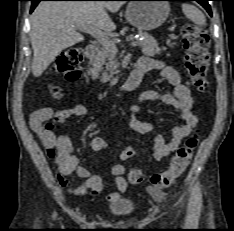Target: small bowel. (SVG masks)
I'll return each instance as SVG.
<instances>
[{
  "label": "small bowel",
  "mask_w": 234,
  "mask_h": 231,
  "mask_svg": "<svg viewBox=\"0 0 234 231\" xmlns=\"http://www.w3.org/2000/svg\"><path fill=\"white\" fill-rule=\"evenodd\" d=\"M138 63L150 66V70L161 71L163 77L173 86V93H159L154 90L143 91L138 96L136 103L131 106L130 128L139 134H147L153 130L151 123L135 117L139 111V105L144 102L159 101L173 106L178 110L183 121L181 125L172 128L171 139L168 142L161 134L154 137L153 158L160 161L173 154L179 148L182 140L196 131L198 119L192 111L193 98L190 90L183 83L181 72L178 69L150 57H143ZM87 112L84 105H77L72 109L57 112H53L50 108H40L35 110L30 117L31 129L41 139L47 155L55 159L60 184L67 192L75 195H96L103 190L104 183L100 176L80 165L81 156L73 151L71 139L66 135L56 138L53 129L55 123H61L72 115H86ZM107 145V140L101 136L92 138L88 143V147L93 151L105 150ZM73 172L83 179V183L78 187H71L68 183L67 176ZM111 172L114 176L116 191L110 193L107 200L113 203L126 191L127 182L124 179L125 167L122 164L113 163Z\"/></svg>",
  "instance_id": "1"
}]
</instances>
